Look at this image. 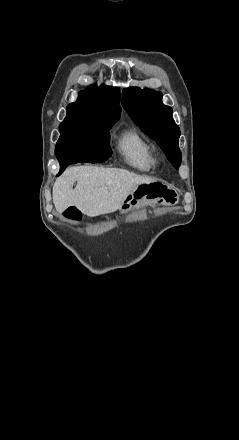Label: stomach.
Masks as SVG:
<instances>
[{
	"label": "stomach",
	"mask_w": 239,
	"mask_h": 440,
	"mask_svg": "<svg viewBox=\"0 0 239 440\" xmlns=\"http://www.w3.org/2000/svg\"><path fill=\"white\" fill-rule=\"evenodd\" d=\"M170 188L162 182H151V184H141L136 190H133L126 200H124L121 208H119L121 214H127L134 208H142L149 200L153 202H161V204H167L170 198ZM174 204V202H171Z\"/></svg>",
	"instance_id": "1"
}]
</instances>
